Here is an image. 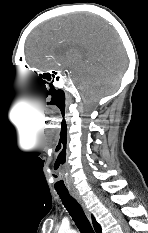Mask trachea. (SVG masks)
Here are the masks:
<instances>
[{"label":"trachea","instance_id":"1","mask_svg":"<svg viewBox=\"0 0 148 233\" xmlns=\"http://www.w3.org/2000/svg\"><path fill=\"white\" fill-rule=\"evenodd\" d=\"M63 205L71 215L81 233H94L93 228L87 219L81 205L70 196L68 191H57Z\"/></svg>","mask_w":148,"mask_h":233}]
</instances>
